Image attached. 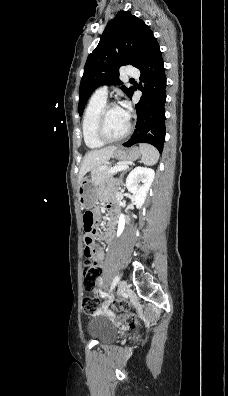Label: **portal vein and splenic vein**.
Segmentation results:
<instances>
[{
    "label": "portal vein and splenic vein",
    "instance_id": "1",
    "mask_svg": "<svg viewBox=\"0 0 228 396\" xmlns=\"http://www.w3.org/2000/svg\"><path fill=\"white\" fill-rule=\"evenodd\" d=\"M127 168H128V166H126V165H116V166L111 167L108 172L109 173H116L118 171H121V170H124V169H127Z\"/></svg>",
    "mask_w": 228,
    "mask_h": 396
}]
</instances>
